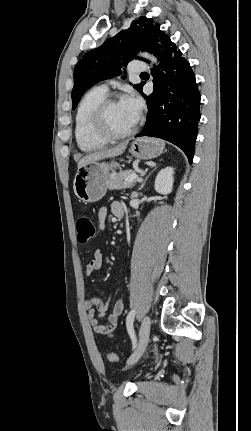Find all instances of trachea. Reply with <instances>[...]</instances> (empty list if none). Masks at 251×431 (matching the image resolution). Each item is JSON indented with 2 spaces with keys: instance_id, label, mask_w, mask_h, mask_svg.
<instances>
[{
  "instance_id": "1",
  "label": "trachea",
  "mask_w": 251,
  "mask_h": 431,
  "mask_svg": "<svg viewBox=\"0 0 251 431\" xmlns=\"http://www.w3.org/2000/svg\"><path fill=\"white\" fill-rule=\"evenodd\" d=\"M146 74H147L146 72L141 73V75H146Z\"/></svg>"
}]
</instances>
